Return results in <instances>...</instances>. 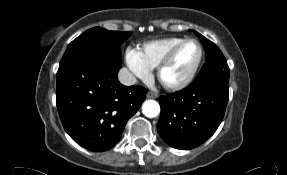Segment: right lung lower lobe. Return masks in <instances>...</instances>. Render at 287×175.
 <instances>
[{
  "instance_id": "1",
  "label": "right lung lower lobe",
  "mask_w": 287,
  "mask_h": 175,
  "mask_svg": "<svg viewBox=\"0 0 287 175\" xmlns=\"http://www.w3.org/2000/svg\"><path fill=\"white\" fill-rule=\"evenodd\" d=\"M119 68L84 60L58 69L56 102L61 122L69 136L90 151L115 146L146 98L143 87H126L118 81Z\"/></svg>"
}]
</instances>
